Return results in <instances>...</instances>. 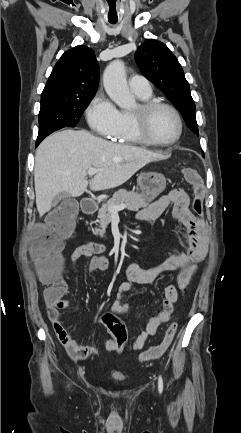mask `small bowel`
Segmentation results:
<instances>
[{"instance_id":"c3829d8e","label":"small bowel","mask_w":241,"mask_h":433,"mask_svg":"<svg viewBox=\"0 0 241 433\" xmlns=\"http://www.w3.org/2000/svg\"><path fill=\"white\" fill-rule=\"evenodd\" d=\"M189 205L190 197L188 193L182 188H177L160 197L138 213L137 218L139 220H154L163 215L170 206H173L172 213L174 218L186 231L187 249L172 254L161 264L148 269L142 268L135 260L129 262L126 267L127 279L116 290L111 304L112 312L124 314L134 307L135 300L128 302L122 300L123 295L131 290L134 284L150 283L160 273L165 271L180 270V275L186 273L190 278L195 273L198 264L206 257L208 246L205 224L189 210ZM84 257L90 258L87 266L89 273L104 272L108 269V259L105 256L94 254L88 244L76 248L71 255V261L77 264ZM179 289L174 285L166 286L161 310L148 320L145 330L134 341L127 344L125 351L141 350L146 340L150 336L155 335L158 328L170 320L175 303L178 300ZM67 292L68 288L65 284L62 296L53 303L47 304L48 317L52 323L54 332L72 359L84 360L91 356H97L98 350L96 348L79 344L66 330L59 311L70 304L68 299L63 298ZM99 322L103 325L101 317ZM113 343L114 339H104L102 341L104 348L109 351H115Z\"/></svg>"}]
</instances>
